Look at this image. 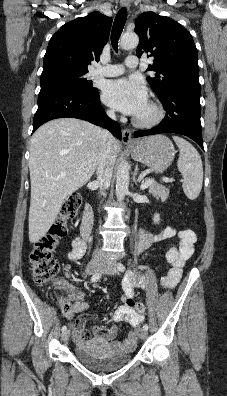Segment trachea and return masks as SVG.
<instances>
[{
  "instance_id": "1",
  "label": "trachea",
  "mask_w": 227,
  "mask_h": 396,
  "mask_svg": "<svg viewBox=\"0 0 227 396\" xmlns=\"http://www.w3.org/2000/svg\"><path fill=\"white\" fill-rule=\"evenodd\" d=\"M126 19H127V9L123 7L118 11L115 17L111 32V42L115 51L118 50V40L123 31Z\"/></svg>"
}]
</instances>
